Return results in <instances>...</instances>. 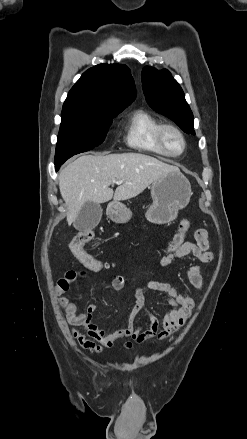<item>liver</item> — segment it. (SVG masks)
<instances>
[{"label":"liver","mask_w":247,"mask_h":439,"mask_svg":"<svg viewBox=\"0 0 247 439\" xmlns=\"http://www.w3.org/2000/svg\"><path fill=\"white\" fill-rule=\"evenodd\" d=\"M179 168L141 153L83 155L69 163L59 174V189L72 224L88 202H115L136 197L155 180ZM114 180L123 181L115 190Z\"/></svg>","instance_id":"6515ba94"}]
</instances>
